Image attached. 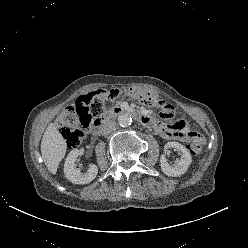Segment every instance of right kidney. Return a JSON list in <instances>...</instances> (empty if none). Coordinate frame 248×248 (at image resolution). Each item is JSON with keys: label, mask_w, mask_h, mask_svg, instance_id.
Here are the masks:
<instances>
[{"label": "right kidney", "mask_w": 248, "mask_h": 248, "mask_svg": "<svg viewBox=\"0 0 248 248\" xmlns=\"http://www.w3.org/2000/svg\"><path fill=\"white\" fill-rule=\"evenodd\" d=\"M81 152L78 149H73L67 156L64 164L65 177L74 184H87L95 179L98 173V167L95 164L90 165L88 171L85 174L80 172V169L76 168L75 161Z\"/></svg>", "instance_id": "obj_1"}]
</instances>
